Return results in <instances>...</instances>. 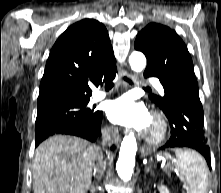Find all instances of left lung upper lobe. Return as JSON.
Returning <instances> with one entry per match:
<instances>
[{
  "label": "left lung upper lobe",
  "instance_id": "left-lung-upper-lobe-1",
  "mask_svg": "<svg viewBox=\"0 0 221 193\" xmlns=\"http://www.w3.org/2000/svg\"><path fill=\"white\" fill-rule=\"evenodd\" d=\"M134 46L146 55L147 68L157 71L161 76L196 81L191 56L174 30L161 24L150 23L138 33ZM150 99L162 110L167 108L165 97L151 95Z\"/></svg>",
  "mask_w": 221,
  "mask_h": 193
}]
</instances>
